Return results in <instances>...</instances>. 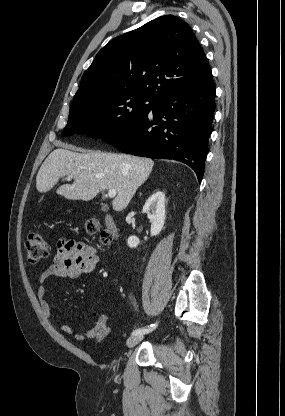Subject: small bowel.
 Instances as JSON below:
<instances>
[{
    "label": "small bowel",
    "instance_id": "small-bowel-1",
    "mask_svg": "<svg viewBox=\"0 0 285 416\" xmlns=\"http://www.w3.org/2000/svg\"><path fill=\"white\" fill-rule=\"evenodd\" d=\"M98 263V255L94 247L75 240H61L57 244L56 254L52 263L40 274L37 284V299L42 313L61 332L73 335L77 341L94 339L102 341L111 332L107 324L108 316L100 313L92 328L83 332H75L68 324L58 319L51 310L46 299L48 283L55 279H75L82 274L90 273Z\"/></svg>",
    "mask_w": 285,
    "mask_h": 416
}]
</instances>
